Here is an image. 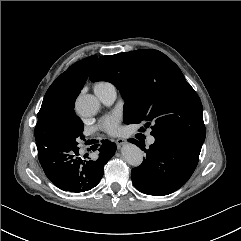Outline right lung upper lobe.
I'll list each match as a JSON object with an SVG mask.
<instances>
[{"mask_svg":"<svg viewBox=\"0 0 241 241\" xmlns=\"http://www.w3.org/2000/svg\"><path fill=\"white\" fill-rule=\"evenodd\" d=\"M96 59L95 55L87 57L76 62L62 73L47 90L38 114L42 115L44 111H74L75 99L81 92ZM47 129L48 124L41 116L38 117L35 139L42 138Z\"/></svg>","mask_w":241,"mask_h":241,"instance_id":"1","label":"right lung upper lobe"}]
</instances>
